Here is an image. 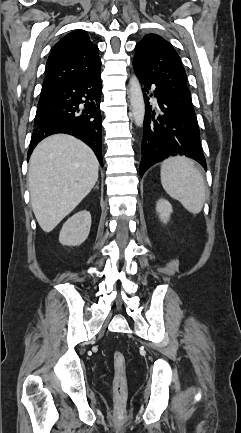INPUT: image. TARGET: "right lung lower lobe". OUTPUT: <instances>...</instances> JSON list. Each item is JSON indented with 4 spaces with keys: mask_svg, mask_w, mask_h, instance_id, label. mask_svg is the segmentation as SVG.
<instances>
[{
    "mask_svg": "<svg viewBox=\"0 0 241 433\" xmlns=\"http://www.w3.org/2000/svg\"><path fill=\"white\" fill-rule=\"evenodd\" d=\"M100 100V71L63 82L42 92L34 120L28 158L35 146L45 137L66 133L81 139L91 147L103 166Z\"/></svg>",
    "mask_w": 241,
    "mask_h": 433,
    "instance_id": "98d812e1",
    "label": "right lung lower lobe"
}]
</instances>
